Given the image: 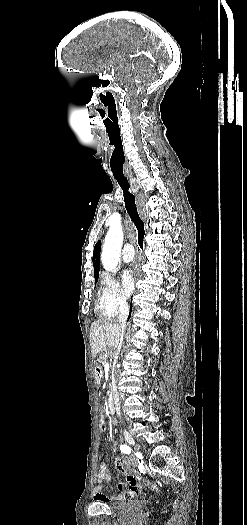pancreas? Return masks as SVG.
<instances>
[{
  "label": "pancreas",
  "mask_w": 247,
  "mask_h": 525,
  "mask_svg": "<svg viewBox=\"0 0 247 525\" xmlns=\"http://www.w3.org/2000/svg\"><path fill=\"white\" fill-rule=\"evenodd\" d=\"M97 358H99V364H104L102 355H97Z\"/></svg>",
  "instance_id": "1"
}]
</instances>
